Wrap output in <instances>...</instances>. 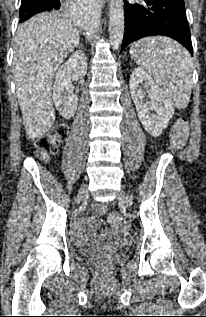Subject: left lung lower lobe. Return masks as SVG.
Here are the masks:
<instances>
[{
    "label": "left lung lower lobe",
    "instance_id": "obj_1",
    "mask_svg": "<svg viewBox=\"0 0 206 317\" xmlns=\"http://www.w3.org/2000/svg\"><path fill=\"white\" fill-rule=\"evenodd\" d=\"M125 34L121 51L133 41L164 35L180 42L193 55L190 30L183 0H125Z\"/></svg>",
    "mask_w": 206,
    "mask_h": 317
}]
</instances>
